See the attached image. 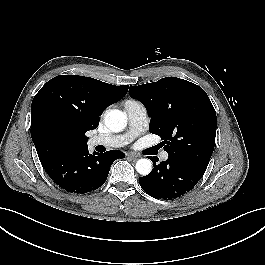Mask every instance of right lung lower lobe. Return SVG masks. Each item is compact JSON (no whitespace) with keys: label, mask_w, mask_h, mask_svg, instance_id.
Returning a JSON list of instances; mask_svg holds the SVG:
<instances>
[{"label":"right lung lower lobe","mask_w":265,"mask_h":265,"mask_svg":"<svg viewBox=\"0 0 265 265\" xmlns=\"http://www.w3.org/2000/svg\"><path fill=\"white\" fill-rule=\"evenodd\" d=\"M125 155L118 150L89 154L88 147L41 161L50 178L73 193H87L102 186L110 166Z\"/></svg>","instance_id":"obj_1"}]
</instances>
